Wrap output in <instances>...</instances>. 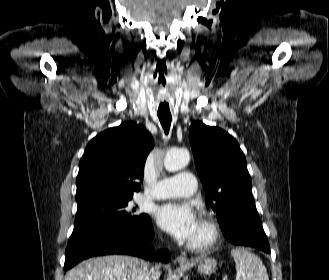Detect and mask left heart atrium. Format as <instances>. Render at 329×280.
I'll list each match as a JSON object with an SVG mask.
<instances>
[{
  "instance_id": "1",
  "label": "left heart atrium",
  "mask_w": 329,
  "mask_h": 280,
  "mask_svg": "<svg viewBox=\"0 0 329 280\" xmlns=\"http://www.w3.org/2000/svg\"><path fill=\"white\" fill-rule=\"evenodd\" d=\"M158 225L181 241H191L199 221L191 206L184 203L168 202L155 211Z\"/></svg>"
}]
</instances>
